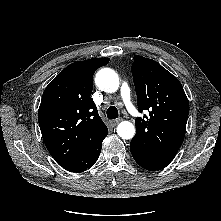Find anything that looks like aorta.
Instances as JSON below:
<instances>
[{
    "label": "aorta",
    "mask_w": 221,
    "mask_h": 221,
    "mask_svg": "<svg viewBox=\"0 0 221 221\" xmlns=\"http://www.w3.org/2000/svg\"><path fill=\"white\" fill-rule=\"evenodd\" d=\"M96 85L103 91L113 93L119 88V77L110 68L99 70L95 78ZM118 135L123 139H131L135 134V127L131 122L122 121L117 127Z\"/></svg>",
    "instance_id": "obj_1"
}]
</instances>
